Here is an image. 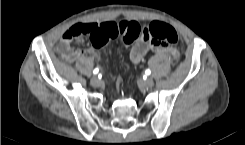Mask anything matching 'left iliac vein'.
I'll use <instances>...</instances> for the list:
<instances>
[{"instance_id":"1","label":"left iliac vein","mask_w":245,"mask_h":145,"mask_svg":"<svg viewBox=\"0 0 245 145\" xmlns=\"http://www.w3.org/2000/svg\"><path fill=\"white\" fill-rule=\"evenodd\" d=\"M153 85H154V81L151 78H148L145 81H143V86L146 88H151L153 87Z\"/></svg>"}]
</instances>
